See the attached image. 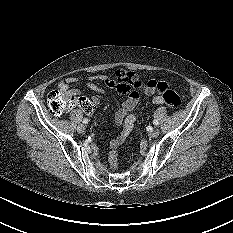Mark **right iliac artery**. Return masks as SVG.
<instances>
[{"label":"right iliac artery","instance_id":"obj_1","mask_svg":"<svg viewBox=\"0 0 233 233\" xmlns=\"http://www.w3.org/2000/svg\"><path fill=\"white\" fill-rule=\"evenodd\" d=\"M88 122H89V120H88L87 118H84V119H83V123H84V124H87Z\"/></svg>","mask_w":233,"mask_h":233}]
</instances>
